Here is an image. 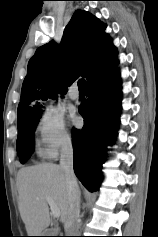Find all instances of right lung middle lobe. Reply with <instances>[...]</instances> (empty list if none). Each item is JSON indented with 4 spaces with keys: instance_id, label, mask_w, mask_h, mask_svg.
Wrapping results in <instances>:
<instances>
[{
    "instance_id": "right-lung-middle-lobe-1",
    "label": "right lung middle lobe",
    "mask_w": 158,
    "mask_h": 237,
    "mask_svg": "<svg viewBox=\"0 0 158 237\" xmlns=\"http://www.w3.org/2000/svg\"><path fill=\"white\" fill-rule=\"evenodd\" d=\"M40 115L41 113L29 117L18 118V137L16 148L22 164H24L33 153L34 137L32 134L36 129Z\"/></svg>"
}]
</instances>
